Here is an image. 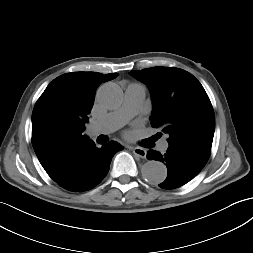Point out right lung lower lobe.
<instances>
[{
  "label": "right lung lower lobe",
  "mask_w": 253,
  "mask_h": 253,
  "mask_svg": "<svg viewBox=\"0 0 253 253\" xmlns=\"http://www.w3.org/2000/svg\"><path fill=\"white\" fill-rule=\"evenodd\" d=\"M123 147L114 141L101 148L91 145L82 151L70 171V179L60 186L73 192H84L94 188L107 175L114 154Z\"/></svg>",
  "instance_id": "98d812e1"
}]
</instances>
